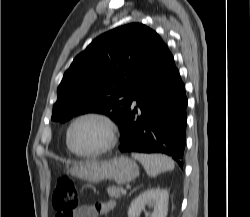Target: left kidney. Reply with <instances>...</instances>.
<instances>
[{
  "label": "left kidney",
  "instance_id": "5707ae66",
  "mask_svg": "<svg viewBox=\"0 0 250 217\" xmlns=\"http://www.w3.org/2000/svg\"><path fill=\"white\" fill-rule=\"evenodd\" d=\"M169 194L166 190L157 188H149L135 198L128 210V217H138L144 209L145 205L153 208L151 215L146 217H166L168 213Z\"/></svg>",
  "mask_w": 250,
  "mask_h": 217
}]
</instances>
